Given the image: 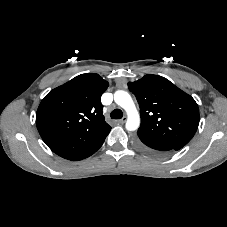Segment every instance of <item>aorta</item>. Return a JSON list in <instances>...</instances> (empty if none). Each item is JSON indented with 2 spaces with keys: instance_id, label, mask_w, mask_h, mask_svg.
Returning <instances> with one entry per match:
<instances>
[{
  "instance_id": "aorta-1",
  "label": "aorta",
  "mask_w": 227,
  "mask_h": 227,
  "mask_svg": "<svg viewBox=\"0 0 227 227\" xmlns=\"http://www.w3.org/2000/svg\"><path fill=\"white\" fill-rule=\"evenodd\" d=\"M114 101L127 113L126 129L128 131L138 129L140 125V116L129 93L122 90L116 91L114 94Z\"/></svg>"
}]
</instances>
